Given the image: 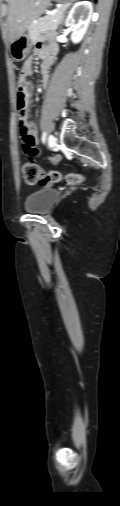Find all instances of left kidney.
<instances>
[{"label": "left kidney", "mask_w": 120, "mask_h": 506, "mask_svg": "<svg viewBox=\"0 0 120 506\" xmlns=\"http://www.w3.org/2000/svg\"><path fill=\"white\" fill-rule=\"evenodd\" d=\"M93 13L92 3L89 1H80L74 4L65 20V26L72 31L71 40L73 43H79L89 26Z\"/></svg>", "instance_id": "1"}]
</instances>
